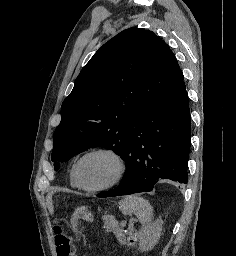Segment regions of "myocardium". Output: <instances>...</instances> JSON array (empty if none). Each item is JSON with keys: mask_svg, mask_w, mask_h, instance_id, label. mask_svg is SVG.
I'll list each match as a JSON object with an SVG mask.
<instances>
[{"mask_svg": "<svg viewBox=\"0 0 236 256\" xmlns=\"http://www.w3.org/2000/svg\"><path fill=\"white\" fill-rule=\"evenodd\" d=\"M98 153L109 154L115 159L117 166H118L117 174L110 182H108L104 185H101L98 187H88L84 184L82 176H81V165H82L83 160L87 156L93 155V154H98ZM126 168H127L126 161H125L124 156L121 154V152H119L117 149L110 147V146H101V147H97V148L88 150L79 157V159L77 160V163H76L75 174H76L78 184L82 189H84L85 191H88V192L95 193V192H101L104 190H108V189L116 186L123 179V177L126 173Z\"/></svg>", "mask_w": 236, "mask_h": 256, "instance_id": "myocardium-1", "label": "myocardium"}]
</instances>
